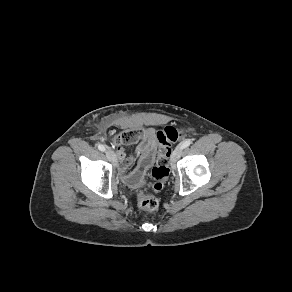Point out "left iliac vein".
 <instances>
[{"label": "left iliac vein", "mask_w": 292, "mask_h": 292, "mask_svg": "<svg viewBox=\"0 0 292 292\" xmlns=\"http://www.w3.org/2000/svg\"><path fill=\"white\" fill-rule=\"evenodd\" d=\"M182 150L183 149L181 148V146L176 147L172 156H171V166L173 169L176 168V163H177V160H178Z\"/></svg>", "instance_id": "left-iliac-vein-1"}]
</instances>
